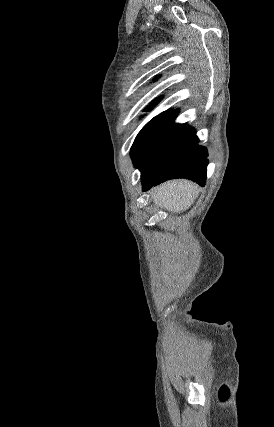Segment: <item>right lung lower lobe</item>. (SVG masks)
Masks as SVG:
<instances>
[{"label": "right lung lower lobe", "instance_id": "obj_1", "mask_svg": "<svg viewBox=\"0 0 274 427\" xmlns=\"http://www.w3.org/2000/svg\"><path fill=\"white\" fill-rule=\"evenodd\" d=\"M178 110L171 112L159 137L151 144L142 161L143 191L173 178H189L200 185L206 181L207 150L198 145L195 130L174 124Z\"/></svg>", "mask_w": 274, "mask_h": 427}]
</instances>
